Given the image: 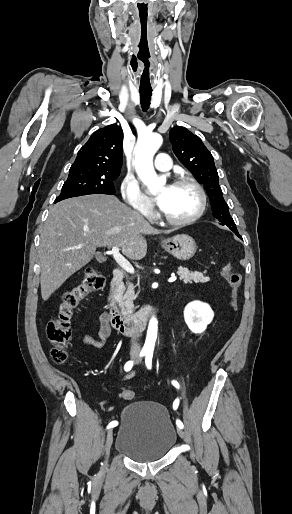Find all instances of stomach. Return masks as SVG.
Segmentation results:
<instances>
[{"instance_id": "stomach-1", "label": "stomach", "mask_w": 292, "mask_h": 514, "mask_svg": "<svg viewBox=\"0 0 292 514\" xmlns=\"http://www.w3.org/2000/svg\"><path fill=\"white\" fill-rule=\"evenodd\" d=\"M162 244L165 252H169L177 260H190L197 248L193 238L187 234H178V236L163 240Z\"/></svg>"}]
</instances>
